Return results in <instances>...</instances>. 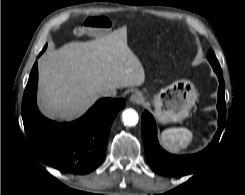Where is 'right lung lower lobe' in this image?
Listing matches in <instances>:
<instances>
[{
    "mask_svg": "<svg viewBox=\"0 0 245 195\" xmlns=\"http://www.w3.org/2000/svg\"><path fill=\"white\" fill-rule=\"evenodd\" d=\"M37 83L36 62L22 101V118L31 149L43 163L62 172L86 174L93 171L105 156L111 124L125 100L100 99L80 119L60 124L39 112Z\"/></svg>",
    "mask_w": 245,
    "mask_h": 195,
    "instance_id": "1",
    "label": "right lung lower lobe"
}]
</instances>
